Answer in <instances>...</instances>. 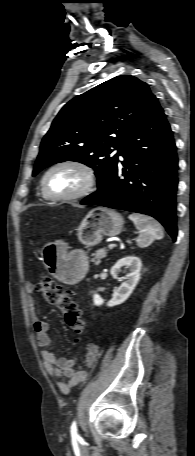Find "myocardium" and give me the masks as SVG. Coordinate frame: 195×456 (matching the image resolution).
Instances as JSON below:
<instances>
[{
  "instance_id": "1",
  "label": "myocardium",
  "mask_w": 195,
  "mask_h": 456,
  "mask_svg": "<svg viewBox=\"0 0 195 456\" xmlns=\"http://www.w3.org/2000/svg\"><path fill=\"white\" fill-rule=\"evenodd\" d=\"M65 166H71L78 168L81 170L85 176V182L83 186L76 192L69 194V195H54L52 194L46 184V180L48 175L55 169L60 168V167H65ZM96 185V174L94 169L88 165L87 163L79 160H63L60 162H57L53 164L51 167H49L44 175L42 176L41 179V191L43 195L50 200L57 201V202H65V201H73V200H78L81 198L86 197L91 193V191L94 189Z\"/></svg>"
}]
</instances>
